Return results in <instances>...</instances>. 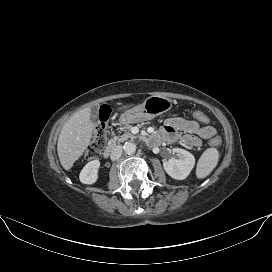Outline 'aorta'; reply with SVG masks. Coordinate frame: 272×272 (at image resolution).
<instances>
[{
	"label": "aorta",
	"mask_w": 272,
	"mask_h": 272,
	"mask_svg": "<svg viewBox=\"0 0 272 272\" xmlns=\"http://www.w3.org/2000/svg\"><path fill=\"white\" fill-rule=\"evenodd\" d=\"M126 154H134L136 151V145L133 142H126L123 146Z\"/></svg>",
	"instance_id": "obj_1"
}]
</instances>
